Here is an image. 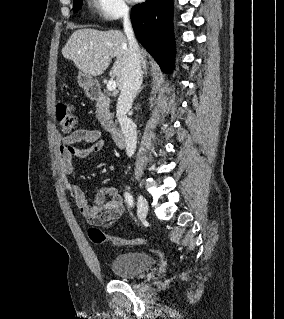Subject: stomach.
<instances>
[{
  "label": "stomach",
  "mask_w": 284,
  "mask_h": 319,
  "mask_svg": "<svg viewBox=\"0 0 284 319\" xmlns=\"http://www.w3.org/2000/svg\"><path fill=\"white\" fill-rule=\"evenodd\" d=\"M78 83L80 87L84 89L86 93H90L91 89L96 86L97 81L93 79V77L85 74V73H79L78 74Z\"/></svg>",
  "instance_id": "0dacf381"
}]
</instances>
